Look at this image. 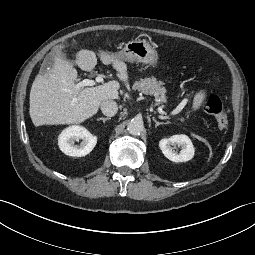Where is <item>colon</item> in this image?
I'll list each match as a JSON object with an SVG mask.
<instances>
[{
	"instance_id": "obj_1",
	"label": "colon",
	"mask_w": 255,
	"mask_h": 255,
	"mask_svg": "<svg viewBox=\"0 0 255 255\" xmlns=\"http://www.w3.org/2000/svg\"><path fill=\"white\" fill-rule=\"evenodd\" d=\"M204 109L210 113L216 120L220 130L228 127V117L222 106L220 98L215 93H207L203 99Z\"/></svg>"
}]
</instances>
